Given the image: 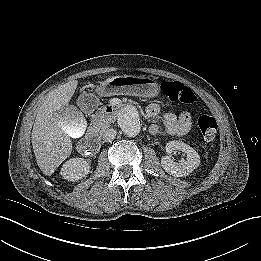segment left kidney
<instances>
[{
	"mask_svg": "<svg viewBox=\"0 0 261 261\" xmlns=\"http://www.w3.org/2000/svg\"><path fill=\"white\" fill-rule=\"evenodd\" d=\"M167 155L161 158L163 169L170 175L176 177L187 176L193 172L200 164V156L198 153L184 142L173 140L166 144ZM176 151H182L186 154V160L175 162L171 158V154Z\"/></svg>",
	"mask_w": 261,
	"mask_h": 261,
	"instance_id": "left-kidney-1",
	"label": "left kidney"
}]
</instances>
